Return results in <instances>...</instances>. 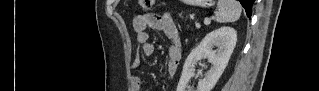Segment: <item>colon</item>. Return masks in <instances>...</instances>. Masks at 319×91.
I'll list each match as a JSON object with an SVG mask.
<instances>
[{"mask_svg": "<svg viewBox=\"0 0 319 91\" xmlns=\"http://www.w3.org/2000/svg\"><path fill=\"white\" fill-rule=\"evenodd\" d=\"M155 3H156V1H154V0H142L141 1V5L145 9H150Z\"/></svg>", "mask_w": 319, "mask_h": 91, "instance_id": "1", "label": "colon"}]
</instances>
